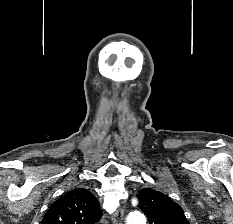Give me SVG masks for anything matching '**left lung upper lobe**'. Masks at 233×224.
<instances>
[{
    "instance_id": "obj_1",
    "label": "left lung upper lobe",
    "mask_w": 233,
    "mask_h": 224,
    "mask_svg": "<svg viewBox=\"0 0 233 224\" xmlns=\"http://www.w3.org/2000/svg\"><path fill=\"white\" fill-rule=\"evenodd\" d=\"M137 198L138 207L147 215L150 224H189L183 209L165 194L144 188Z\"/></svg>"
}]
</instances>
